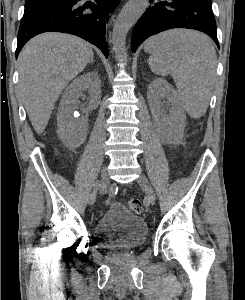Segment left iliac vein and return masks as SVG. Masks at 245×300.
Wrapping results in <instances>:
<instances>
[{
    "label": "left iliac vein",
    "mask_w": 245,
    "mask_h": 300,
    "mask_svg": "<svg viewBox=\"0 0 245 300\" xmlns=\"http://www.w3.org/2000/svg\"><path fill=\"white\" fill-rule=\"evenodd\" d=\"M137 182L141 186V188L145 191L149 202L152 205H154L156 201V196L146 176L144 174H140V176L137 179Z\"/></svg>",
    "instance_id": "4c4485c4"
}]
</instances>
